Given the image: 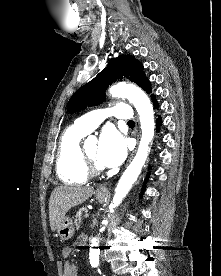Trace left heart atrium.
<instances>
[{"mask_svg": "<svg viewBox=\"0 0 221 276\" xmlns=\"http://www.w3.org/2000/svg\"><path fill=\"white\" fill-rule=\"evenodd\" d=\"M126 154L123 136L113 128L105 129L100 136L97 161L103 166L115 167L124 161Z\"/></svg>", "mask_w": 221, "mask_h": 276, "instance_id": "left-heart-atrium-1", "label": "left heart atrium"}]
</instances>
